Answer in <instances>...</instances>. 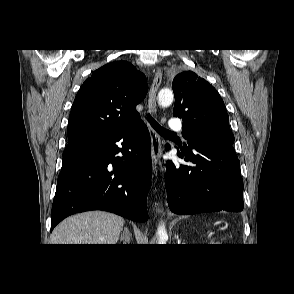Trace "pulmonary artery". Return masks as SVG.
Listing matches in <instances>:
<instances>
[{
  "label": "pulmonary artery",
  "instance_id": "obj_1",
  "mask_svg": "<svg viewBox=\"0 0 294 294\" xmlns=\"http://www.w3.org/2000/svg\"><path fill=\"white\" fill-rule=\"evenodd\" d=\"M170 128L175 131H181L183 129V125L180 120L172 119L170 122Z\"/></svg>",
  "mask_w": 294,
  "mask_h": 294
}]
</instances>
